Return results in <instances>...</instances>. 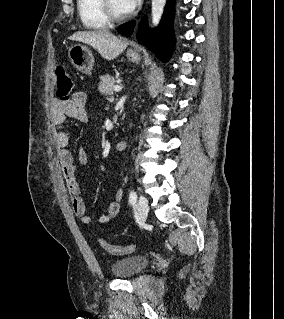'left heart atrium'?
<instances>
[{
  "mask_svg": "<svg viewBox=\"0 0 284 319\" xmlns=\"http://www.w3.org/2000/svg\"><path fill=\"white\" fill-rule=\"evenodd\" d=\"M127 12L133 11L141 2V0H121Z\"/></svg>",
  "mask_w": 284,
  "mask_h": 319,
  "instance_id": "left-heart-atrium-1",
  "label": "left heart atrium"
}]
</instances>
